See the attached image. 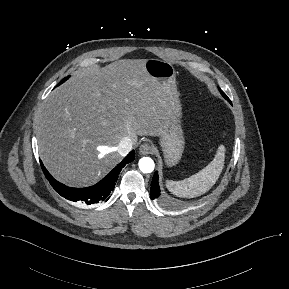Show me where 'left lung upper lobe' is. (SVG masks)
Here are the masks:
<instances>
[{"instance_id": "1", "label": "left lung upper lobe", "mask_w": 289, "mask_h": 289, "mask_svg": "<svg viewBox=\"0 0 289 289\" xmlns=\"http://www.w3.org/2000/svg\"><path fill=\"white\" fill-rule=\"evenodd\" d=\"M219 90H220V92H221V94L223 95V96H225V93L219 88Z\"/></svg>"}]
</instances>
